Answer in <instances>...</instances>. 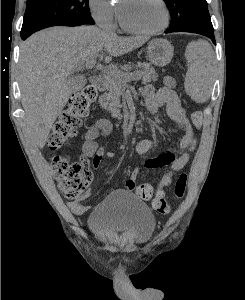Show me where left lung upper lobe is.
I'll return each mask as SVG.
<instances>
[{
	"mask_svg": "<svg viewBox=\"0 0 245 300\" xmlns=\"http://www.w3.org/2000/svg\"><path fill=\"white\" fill-rule=\"evenodd\" d=\"M170 15L168 30L184 26L213 29L206 0H164Z\"/></svg>",
	"mask_w": 245,
	"mask_h": 300,
	"instance_id": "left-lung-upper-lobe-1",
	"label": "left lung upper lobe"
}]
</instances>
